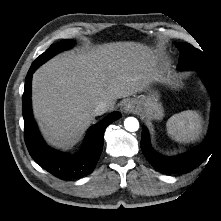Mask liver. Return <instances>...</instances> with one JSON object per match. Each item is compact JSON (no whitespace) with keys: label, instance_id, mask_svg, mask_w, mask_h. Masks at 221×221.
I'll list each match as a JSON object with an SVG mask.
<instances>
[{"label":"liver","instance_id":"6515ba94","mask_svg":"<svg viewBox=\"0 0 221 221\" xmlns=\"http://www.w3.org/2000/svg\"><path fill=\"white\" fill-rule=\"evenodd\" d=\"M153 51L135 42H116L52 58L33 74L34 116L51 145H74L94 121L99 102L109 110L117 99L144 91L157 73Z\"/></svg>","mask_w":221,"mask_h":221}]
</instances>
